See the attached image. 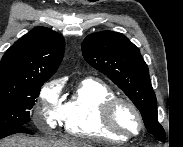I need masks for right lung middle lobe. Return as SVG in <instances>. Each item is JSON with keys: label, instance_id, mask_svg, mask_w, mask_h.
<instances>
[{"label": "right lung middle lobe", "instance_id": "obj_1", "mask_svg": "<svg viewBox=\"0 0 183 147\" xmlns=\"http://www.w3.org/2000/svg\"><path fill=\"white\" fill-rule=\"evenodd\" d=\"M46 81L38 79L19 85H0V134L30 121V110Z\"/></svg>", "mask_w": 183, "mask_h": 147}]
</instances>
